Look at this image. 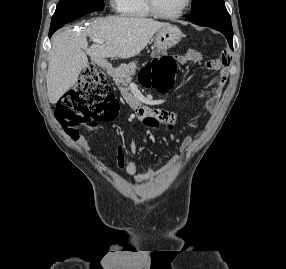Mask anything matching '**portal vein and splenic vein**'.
I'll return each mask as SVG.
<instances>
[{"label":"portal vein and splenic vein","instance_id":"portal-vein-and-splenic-vein-1","mask_svg":"<svg viewBox=\"0 0 286 269\" xmlns=\"http://www.w3.org/2000/svg\"><path fill=\"white\" fill-rule=\"evenodd\" d=\"M93 41L96 43H103L104 42V40H102V39H94Z\"/></svg>","mask_w":286,"mask_h":269}]
</instances>
